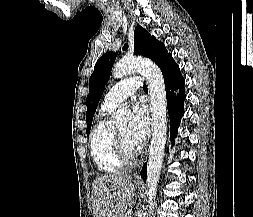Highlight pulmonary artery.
Returning <instances> with one entry per match:
<instances>
[{
  "label": "pulmonary artery",
  "instance_id": "e3ab8cb5",
  "mask_svg": "<svg viewBox=\"0 0 253 217\" xmlns=\"http://www.w3.org/2000/svg\"><path fill=\"white\" fill-rule=\"evenodd\" d=\"M142 85L140 77L126 78L114 85L105 95L102 107L115 109L122 101L132 96Z\"/></svg>",
  "mask_w": 253,
  "mask_h": 217
}]
</instances>
